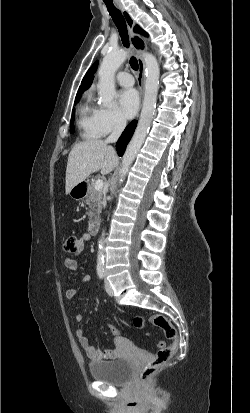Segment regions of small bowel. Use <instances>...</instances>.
<instances>
[{"instance_id": "small-bowel-1", "label": "small bowel", "mask_w": 250, "mask_h": 413, "mask_svg": "<svg viewBox=\"0 0 250 413\" xmlns=\"http://www.w3.org/2000/svg\"><path fill=\"white\" fill-rule=\"evenodd\" d=\"M89 240V236L88 235H83L82 238L80 239V248L79 250H81L84 246V243L86 241ZM64 266L65 268L72 272L75 271L78 267L77 261L72 258V257H67L64 260ZM91 277L89 275L85 276L83 281L87 282L90 281ZM77 295V290L75 288H69L66 290L65 292V297L68 300H72L76 297ZM75 319L77 322L82 321L83 319V315L81 313H77L75 315ZM76 336L77 339L81 345V347L85 350L87 356L93 360V361H101V360H110V359H114L117 357V355L119 354V345L122 343L123 341V337L121 336L120 339H115V344L116 347L113 349H107V350H99L96 349L89 340V337L87 336V334L85 333L83 328H78L76 330Z\"/></svg>"}]
</instances>
